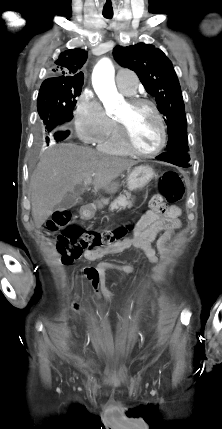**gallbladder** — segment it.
I'll use <instances>...</instances> for the list:
<instances>
[{
	"label": "gallbladder",
	"mask_w": 222,
	"mask_h": 429,
	"mask_svg": "<svg viewBox=\"0 0 222 429\" xmlns=\"http://www.w3.org/2000/svg\"><path fill=\"white\" fill-rule=\"evenodd\" d=\"M78 200L72 194L68 193L64 196L62 201L58 203L55 207L56 210H67L74 207L77 204Z\"/></svg>",
	"instance_id": "bac80fb5"
}]
</instances>
